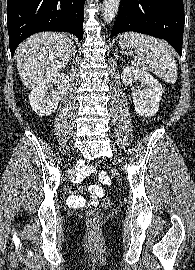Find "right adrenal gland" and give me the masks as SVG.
Returning <instances> with one entry per match:
<instances>
[{
    "mask_svg": "<svg viewBox=\"0 0 195 270\" xmlns=\"http://www.w3.org/2000/svg\"><path fill=\"white\" fill-rule=\"evenodd\" d=\"M76 54V49H75V47H74V52H73V56Z\"/></svg>",
    "mask_w": 195,
    "mask_h": 270,
    "instance_id": "2a0ac1e0",
    "label": "right adrenal gland"
}]
</instances>
